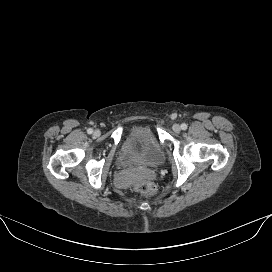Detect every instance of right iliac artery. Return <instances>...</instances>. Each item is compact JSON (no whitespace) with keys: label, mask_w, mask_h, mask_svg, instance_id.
Here are the masks:
<instances>
[{"label":"right iliac artery","mask_w":272,"mask_h":272,"mask_svg":"<svg viewBox=\"0 0 272 272\" xmlns=\"http://www.w3.org/2000/svg\"><path fill=\"white\" fill-rule=\"evenodd\" d=\"M87 133H88V134H92V133H93V129H92V128H89V129L87 130Z\"/></svg>","instance_id":"right-iliac-artery-1"}]
</instances>
